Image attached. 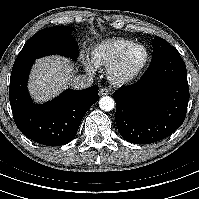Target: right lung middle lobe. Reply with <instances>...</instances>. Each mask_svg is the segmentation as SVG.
<instances>
[{
  "instance_id": "1",
  "label": "right lung middle lobe",
  "mask_w": 199,
  "mask_h": 199,
  "mask_svg": "<svg viewBox=\"0 0 199 199\" xmlns=\"http://www.w3.org/2000/svg\"><path fill=\"white\" fill-rule=\"evenodd\" d=\"M72 27H51L35 33L18 54L13 67L37 58L59 54L75 59L78 56L76 41L72 38Z\"/></svg>"
}]
</instances>
